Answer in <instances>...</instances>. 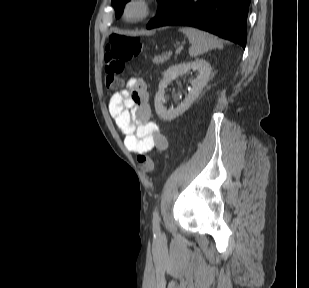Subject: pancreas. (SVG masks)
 Segmentation results:
<instances>
[{
  "label": "pancreas",
  "mask_w": 309,
  "mask_h": 288,
  "mask_svg": "<svg viewBox=\"0 0 309 288\" xmlns=\"http://www.w3.org/2000/svg\"><path fill=\"white\" fill-rule=\"evenodd\" d=\"M168 59H169V57H167L166 55H159V56H155L152 61H153V63L159 65V64H163Z\"/></svg>",
  "instance_id": "pancreas-1"
}]
</instances>
